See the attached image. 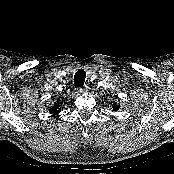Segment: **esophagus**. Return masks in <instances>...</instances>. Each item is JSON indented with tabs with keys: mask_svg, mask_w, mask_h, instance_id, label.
<instances>
[{
	"mask_svg": "<svg viewBox=\"0 0 174 174\" xmlns=\"http://www.w3.org/2000/svg\"><path fill=\"white\" fill-rule=\"evenodd\" d=\"M88 89H89L88 85H85L84 87L80 88V89L78 90V92H80V93H85V92L88 91Z\"/></svg>",
	"mask_w": 174,
	"mask_h": 174,
	"instance_id": "obj_1",
	"label": "esophagus"
}]
</instances>
